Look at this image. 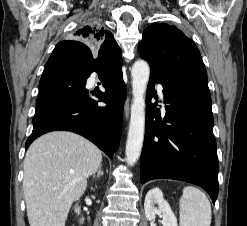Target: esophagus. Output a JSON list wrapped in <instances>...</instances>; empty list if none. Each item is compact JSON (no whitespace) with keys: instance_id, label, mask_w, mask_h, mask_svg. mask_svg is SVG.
<instances>
[{"instance_id":"1","label":"esophagus","mask_w":247,"mask_h":226,"mask_svg":"<svg viewBox=\"0 0 247 226\" xmlns=\"http://www.w3.org/2000/svg\"><path fill=\"white\" fill-rule=\"evenodd\" d=\"M124 114H125L126 119H128V116H129V99L128 98L126 99V102L124 104Z\"/></svg>"}]
</instances>
